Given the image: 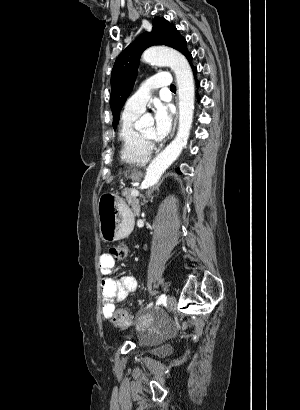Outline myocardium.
I'll return each instance as SVG.
<instances>
[{
    "instance_id": "f54148a6",
    "label": "myocardium",
    "mask_w": 300,
    "mask_h": 410,
    "mask_svg": "<svg viewBox=\"0 0 300 410\" xmlns=\"http://www.w3.org/2000/svg\"><path fill=\"white\" fill-rule=\"evenodd\" d=\"M140 135H141V137L143 138V140H144L146 143H150V142L152 141L151 138L145 136L144 134L141 133Z\"/></svg>"
}]
</instances>
